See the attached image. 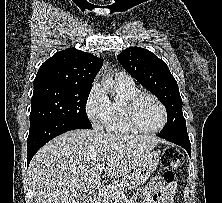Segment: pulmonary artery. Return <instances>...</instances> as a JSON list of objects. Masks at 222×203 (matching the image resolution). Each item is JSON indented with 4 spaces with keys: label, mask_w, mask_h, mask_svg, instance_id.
<instances>
[{
    "label": "pulmonary artery",
    "mask_w": 222,
    "mask_h": 203,
    "mask_svg": "<svg viewBox=\"0 0 222 203\" xmlns=\"http://www.w3.org/2000/svg\"><path fill=\"white\" fill-rule=\"evenodd\" d=\"M115 81L119 83H124V84H133V79L132 77L127 74L126 72H117L115 74Z\"/></svg>",
    "instance_id": "1"
}]
</instances>
